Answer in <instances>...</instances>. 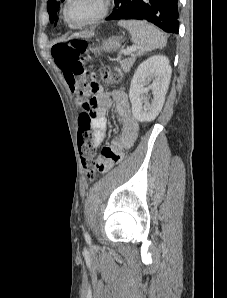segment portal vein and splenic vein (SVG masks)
I'll return each instance as SVG.
<instances>
[{
    "instance_id": "18ae733b",
    "label": "portal vein and splenic vein",
    "mask_w": 227,
    "mask_h": 298,
    "mask_svg": "<svg viewBox=\"0 0 227 298\" xmlns=\"http://www.w3.org/2000/svg\"><path fill=\"white\" fill-rule=\"evenodd\" d=\"M136 50H137V47L132 46L130 48H127V49L123 50L122 52H123L124 55H129V54L133 53Z\"/></svg>"
}]
</instances>
